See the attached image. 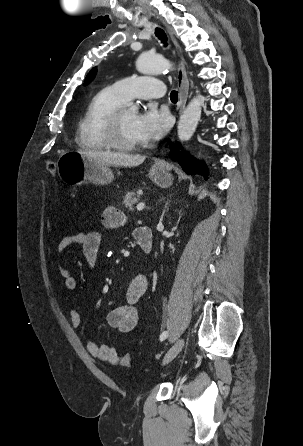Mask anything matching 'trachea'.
Instances as JSON below:
<instances>
[{
  "instance_id": "obj_1",
  "label": "trachea",
  "mask_w": 303,
  "mask_h": 446,
  "mask_svg": "<svg viewBox=\"0 0 303 446\" xmlns=\"http://www.w3.org/2000/svg\"><path fill=\"white\" fill-rule=\"evenodd\" d=\"M155 34L161 40V42L164 43V45L166 46L167 45V37H166V34L164 33V31L160 28H156ZM170 99L172 102H177L178 101V92L173 90L170 94Z\"/></svg>"
}]
</instances>
